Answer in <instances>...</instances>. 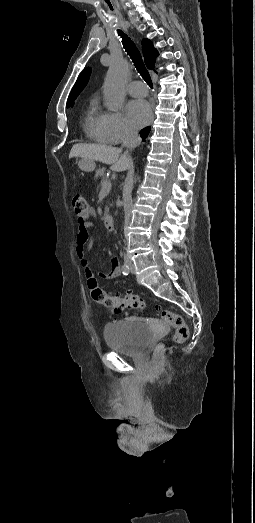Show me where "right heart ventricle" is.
I'll use <instances>...</instances> for the list:
<instances>
[{
	"label": "right heart ventricle",
	"mask_w": 255,
	"mask_h": 523,
	"mask_svg": "<svg viewBox=\"0 0 255 523\" xmlns=\"http://www.w3.org/2000/svg\"><path fill=\"white\" fill-rule=\"evenodd\" d=\"M84 130L87 138L97 144L115 143L117 137L111 126L110 113L93 102L85 119Z\"/></svg>",
	"instance_id": "right-heart-ventricle-1"
}]
</instances>
